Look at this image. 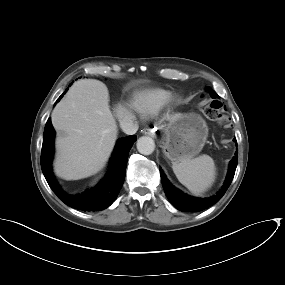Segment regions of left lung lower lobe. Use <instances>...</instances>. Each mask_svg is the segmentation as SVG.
<instances>
[{"label": "left lung lower lobe", "instance_id": "left-lung-lower-lobe-1", "mask_svg": "<svg viewBox=\"0 0 285 285\" xmlns=\"http://www.w3.org/2000/svg\"><path fill=\"white\" fill-rule=\"evenodd\" d=\"M234 141L236 142V139H234ZM237 154L238 152L235 153V156L230 161L228 174L221 190L217 193V195L206 199L193 198L187 194H184L169 182L163 170L160 169L162 185L167 198L180 211L198 212L212 206L223 197L229 185L231 184L237 167Z\"/></svg>", "mask_w": 285, "mask_h": 285}]
</instances>
